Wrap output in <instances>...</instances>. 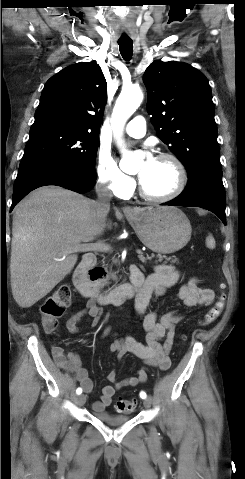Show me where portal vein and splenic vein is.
I'll return each instance as SVG.
<instances>
[{
    "mask_svg": "<svg viewBox=\"0 0 245 479\" xmlns=\"http://www.w3.org/2000/svg\"><path fill=\"white\" fill-rule=\"evenodd\" d=\"M109 251L110 250V246L108 245H101V244H90V243H83V244H79L78 246L75 247V251L78 252V251ZM137 254L141 255L143 254V252L139 249L136 250Z\"/></svg>",
    "mask_w": 245,
    "mask_h": 479,
    "instance_id": "1",
    "label": "portal vein and splenic vein"
}]
</instances>
